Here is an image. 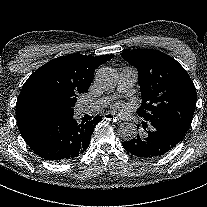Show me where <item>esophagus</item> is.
Instances as JSON below:
<instances>
[{
  "label": "esophagus",
  "mask_w": 207,
  "mask_h": 207,
  "mask_svg": "<svg viewBox=\"0 0 207 207\" xmlns=\"http://www.w3.org/2000/svg\"><path fill=\"white\" fill-rule=\"evenodd\" d=\"M104 118L106 120H109V121H112V122H117L118 121L117 117L115 115L111 114V113H106L104 115Z\"/></svg>",
  "instance_id": "1"
}]
</instances>
